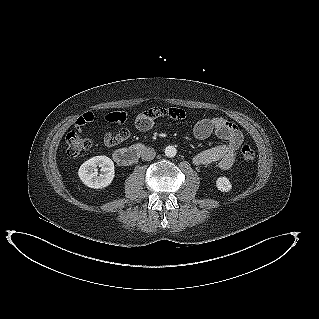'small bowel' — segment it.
Here are the masks:
<instances>
[{
    "label": "small bowel",
    "instance_id": "small-bowel-1",
    "mask_svg": "<svg viewBox=\"0 0 319 319\" xmlns=\"http://www.w3.org/2000/svg\"><path fill=\"white\" fill-rule=\"evenodd\" d=\"M186 112L182 108L153 107L140 113L135 119V127L139 131H148L153 128L157 119L165 117L173 120L185 118ZM96 120L92 112H87L76 121V128L80 131L84 126ZM193 135L203 140L211 135L225 141L224 144L197 153L192 161L195 166L216 165L221 170L230 169L237 158L239 148L243 143L241 130L231 121L222 116L203 117L195 124ZM131 132L121 128L108 132L104 136L106 146L113 147L129 139Z\"/></svg>",
    "mask_w": 319,
    "mask_h": 319
}]
</instances>
